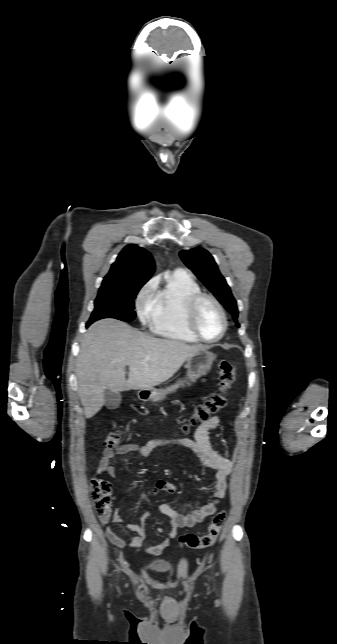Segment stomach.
I'll use <instances>...</instances> for the list:
<instances>
[{
  "mask_svg": "<svg viewBox=\"0 0 337 644\" xmlns=\"http://www.w3.org/2000/svg\"><path fill=\"white\" fill-rule=\"evenodd\" d=\"M214 360V355L207 348H202L194 355L189 357L186 362V377L182 380H179L176 384L171 387L166 388L165 390H144L142 391L145 395L143 397L142 392L140 393V398L144 400H152L154 402L161 401L165 396L175 391L177 388H184L190 386L197 381L201 376L206 375L212 366Z\"/></svg>",
  "mask_w": 337,
  "mask_h": 644,
  "instance_id": "obj_1",
  "label": "stomach"
}]
</instances>
